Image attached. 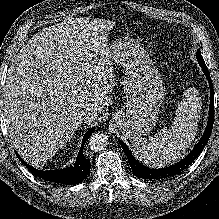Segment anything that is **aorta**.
Wrapping results in <instances>:
<instances>
[{"mask_svg": "<svg viewBox=\"0 0 219 219\" xmlns=\"http://www.w3.org/2000/svg\"><path fill=\"white\" fill-rule=\"evenodd\" d=\"M89 148L92 151L100 152L108 145V137L104 133H95L89 139Z\"/></svg>", "mask_w": 219, "mask_h": 219, "instance_id": "762f6f07", "label": "aorta"}]
</instances>
